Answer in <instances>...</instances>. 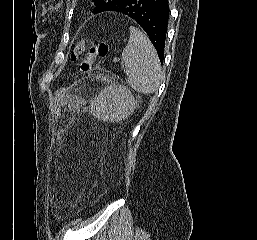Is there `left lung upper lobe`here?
Instances as JSON below:
<instances>
[{
	"label": "left lung upper lobe",
	"mask_w": 257,
	"mask_h": 240,
	"mask_svg": "<svg viewBox=\"0 0 257 240\" xmlns=\"http://www.w3.org/2000/svg\"><path fill=\"white\" fill-rule=\"evenodd\" d=\"M94 2L95 8L93 9L94 14L102 13L108 11L112 7L118 5L122 0H92Z\"/></svg>",
	"instance_id": "obj_1"
}]
</instances>
